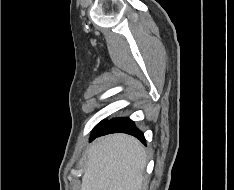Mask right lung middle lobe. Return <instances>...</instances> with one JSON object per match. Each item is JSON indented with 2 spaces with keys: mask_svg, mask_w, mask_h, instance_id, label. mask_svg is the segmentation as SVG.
I'll return each instance as SVG.
<instances>
[{
  "mask_svg": "<svg viewBox=\"0 0 234 190\" xmlns=\"http://www.w3.org/2000/svg\"><path fill=\"white\" fill-rule=\"evenodd\" d=\"M106 122H107V120L101 121V122L95 127L94 130H97V129L101 128Z\"/></svg>",
  "mask_w": 234,
  "mask_h": 190,
  "instance_id": "obj_1",
  "label": "right lung middle lobe"
}]
</instances>
